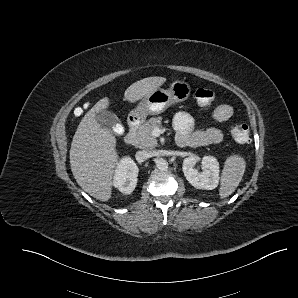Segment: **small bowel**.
Here are the masks:
<instances>
[{"label":"small bowel","instance_id":"1","mask_svg":"<svg viewBox=\"0 0 298 298\" xmlns=\"http://www.w3.org/2000/svg\"><path fill=\"white\" fill-rule=\"evenodd\" d=\"M233 115V108L227 104H221L214 108L211 117L216 122H225ZM173 124L178 133H187L198 136L202 145L219 144L223 140L222 132L217 128H208L203 131L193 132L194 121L191 115L186 112H179L175 115Z\"/></svg>","mask_w":298,"mask_h":298}]
</instances>
